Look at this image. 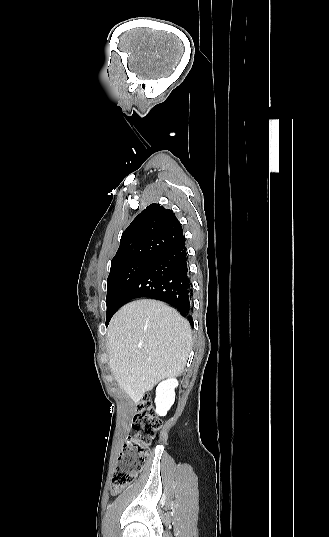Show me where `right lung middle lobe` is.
<instances>
[{
	"label": "right lung middle lobe",
	"mask_w": 329,
	"mask_h": 537,
	"mask_svg": "<svg viewBox=\"0 0 329 537\" xmlns=\"http://www.w3.org/2000/svg\"><path fill=\"white\" fill-rule=\"evenodd\" d=\"M150 263L151 260H135L110 271L107 279L106 326L117 308L121 306L125 292Z\"/></svg>",
	"instance_id": "right-lung-middle-lobe-1"
}]
</instances>
